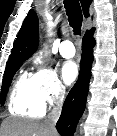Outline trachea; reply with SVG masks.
Returning a JSON list of instances; mask_svg holds the SVG:
<instances>
[{"label": "trachea", "mask_w": 117, "mask_h": 136, "mask_svg": "<svg viewBox=\"0 0 117 136\" xmlns=\"http://www.w3.org/2000/svg\"><path fill=\"white\" fill-rule=\"evenodd\" d=\"M64 7L68 16V21L75 35L81 33L83 22L82 10L78 0H64Z\"/></svg>", "instance_id": "trachea-1"}]
</instances>
